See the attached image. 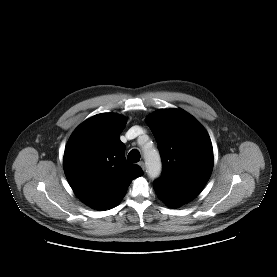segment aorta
Returning a JSON list of instances; mask_svg holds the SVG:
<instances>
[{
    "mask_svg": "<svg viewBox=\"0 0 277 277\" xmlns=\"http://www.w3.org/2000/svg\"><path fill=\"white\" fill-rule=\"evenodd\" d=\"M143 154L148 176L152 179L159 177L162 169L159 152L154 148H144Z\"/></svg>",
    "mask_w": 277,
    "mask_h": 277,
    "instance_id": "762f6f07",
    "label": "aorta"
}]
</instances>
